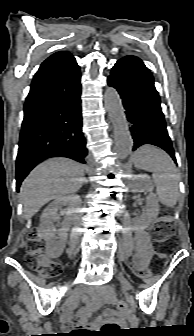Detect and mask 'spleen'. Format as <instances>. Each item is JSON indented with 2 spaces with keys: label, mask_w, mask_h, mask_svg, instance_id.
<instances>
[{
  "label": "spleen",
  "mask_w": 194,
  "mask_h": 336,
  "mask_svg": "<svg viewBox=\"0 0 194 336\" xmlns=\"http://www.w3.org/2000/svg\"><path fill=\"white\" fill-rule=\"evenodd\" d=\"M133 161L136 168L153 172L160 202L174 207L179 196V176L169 155L159 148L144 145L134 153Z\"/></svg>",
  "instance_id": "3e777b00"
}]
</instances>
